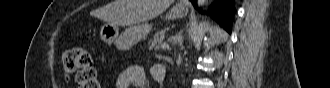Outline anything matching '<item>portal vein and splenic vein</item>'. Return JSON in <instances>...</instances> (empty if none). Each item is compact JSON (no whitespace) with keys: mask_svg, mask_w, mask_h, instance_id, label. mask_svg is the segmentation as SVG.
Listing matches in <instances>:
<instances>
[{"mask_svg":"<svg viewBox=\"0 0 330 88\" xmlns=\"http://www.w3.org/2000/svg\"><path fill=\"white\" fill-rule=\"evenodd\" d=\"M179 39H181V36H175V37L170 38L168 41L169 42L178 41Z\"/></svg>","mask_w":330,"mask_h":88,"instance_id":"1","label":"portal vein and splenic vein"}]
</instances>
